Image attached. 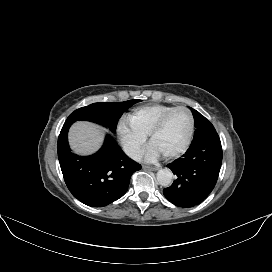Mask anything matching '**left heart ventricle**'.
Wrapping results in <instances>:
<instances>
[{"mask_svg":"<svg viewBox=\"0 0 272 272\" xmlns=\"http://www.w3.org/2000/svg\"><path fill=\"white\" fill-rule=\"evenodd\" d=\"M189 132V117L184 111H176L169 116L165 125L152 139L153 144L162 154L171 153L180 148Z\"/></svg>","mask_w":272,"mask_h":272,"instance_id":"obj_1","label":"left heart ventricle"}]
</instances>
